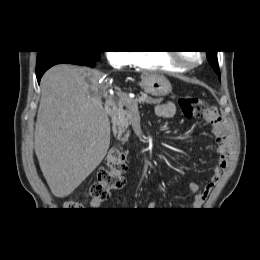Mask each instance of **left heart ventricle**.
I'll list each match as a JSON object with an SVG mask.
<instances>
[{"label": "left heart ventricle", "mask_w": 260, "mask_h": 260, "mask_svg": "<svg viewBox=\"0 0 260 260\" xmlns=\"http://www.w3.org/2000/svg\"><path fill=\"white\" fill-rule=\"evenodd\" d=\"M181 56L185 61H188V62H194L199 59L198 52H193V51L183 52V53H181Z\"/></svg>", "instance_id": "obj_1"}]
</instances>
